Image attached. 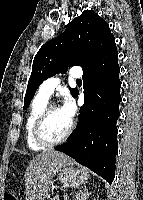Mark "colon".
Returning a JSON list of instances; mask_svg holds the SVG:
<instances>
[{"label": "colon", "mask_w": 143, "mask_h": 200, "mask_svg": "<svg viewBox=\"0 0 143 200\" xmlns=\"http://www.w3.org/2000/svg\"><path fill=\"white\" fill-rule=\"evenodd\" d=\"M4 200H18L14 193L11 191H6L4 195Z\"/></svg>", "instance_id": "colon-1"}]
</instances>
